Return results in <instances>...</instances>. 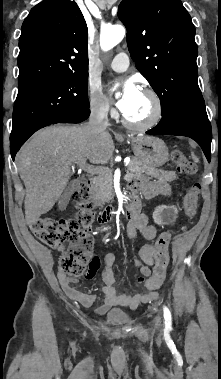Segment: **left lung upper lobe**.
I'll return each mask as SVG.
<instances>
[{
    "instance_id": "obj_1",
    "label": "left lung upper lobe",
    "mask_w": 221,
    "mask_h": 379,
    "mask_svg": "<svg viewBox=\"0 0 221 379\" xmlns=\"http://www.w3.org/2000/svg\"><path fill=\"white\" fill-rule=\"evenodd\" d=\"M118 17L137 69L161 100L162 115L173 109L207 114L197 82L195 27L181 0H123Z\"/></svg>"
}]
</instances>
